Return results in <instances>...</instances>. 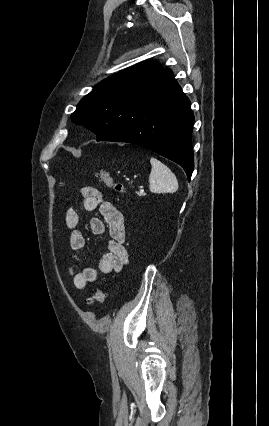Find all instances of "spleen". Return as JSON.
<instances>
[{
    "mask_svg": "<svg viewBox=\"0 0 269 426\" xmlns=\"http://www.w3.org/2000/svg\"><path fill=\"white\" fill-rule=\"evenodd\" d=\"M151 173L149 175V188L152 193H174L178 189V181L172 171L160 162L151 157Z\"/></svg>",
    "mask_w": 269,
    "mask_h": 426,
    "instance_id": "1",
    "label": "spleen"
}]
</instances>
